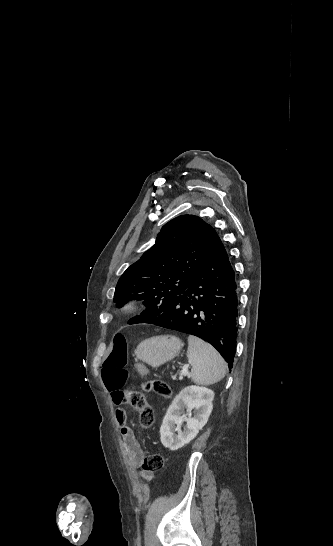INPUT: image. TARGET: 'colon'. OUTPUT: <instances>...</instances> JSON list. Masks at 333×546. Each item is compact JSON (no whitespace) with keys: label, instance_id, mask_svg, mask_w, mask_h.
I'll use <instances>...</instances> for the list:
<instances>
[{"label":"colon","instance_id":"5ec220e1","mask_svg":"<svg viewBox=\"0 0 333 546\" xmlns=\"http://www.w3.org/2000/svg\"><path fill=\"white\" fill-rule=\"evenodd\" d=\"M127 350L126 337L121 333L116 334L102 368V379L109 391H123V402L132 406L139 415L141 425L149 428L154 424V414L145 397L137 391L123 390L128 376ZM141 386L145 392L153 393L163 398H168L171 395L169 385L161 380H147ZM164 465L165 458L160 452L148 454L142 462L143 469L148 472L159 471Z\"/></svg>","mask_w":333,"mask_h":546}]
</instances>
